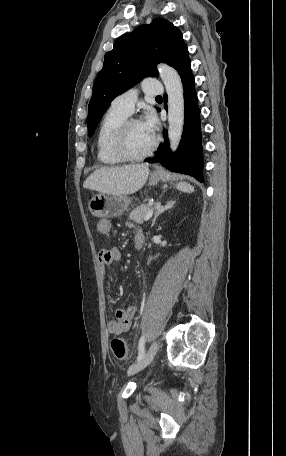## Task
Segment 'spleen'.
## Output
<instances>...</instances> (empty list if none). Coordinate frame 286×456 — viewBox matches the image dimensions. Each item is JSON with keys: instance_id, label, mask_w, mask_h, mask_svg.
Returning <instances> with one entry per match:
<instances>
[{"instance_id": "obj_1", "label": "spleen", "mask_w": 286, "mask_h": 456, "mask_svg": "<svg viewBox=\"0 0 286 456\" xmlns=\"http://www.w3.org/2000/svg\"><path fill=\"white\" fill-rule=\"evenodd\" d=\"M177 189L182 191V192H185V193H192L194 191V188L187 184V183H181L177 186Z\"/></svg>"}]
</instances>
